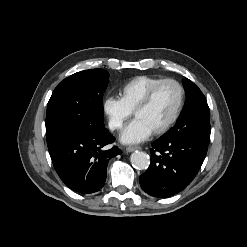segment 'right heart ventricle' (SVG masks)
<instances>
[{
	"mask_svg": "<svg viewBox=\"0 0 247 247\" xmlns=\"http://www.w3.org/2000/svg\"><path fill=\"white\" fill-rule=\"evenodd\" d=\"M161 80L163 78L151 75L136 76L120 88V98L125 106L133 112L149 89Z\"/></svg>",
	"mask_w": 247,
	"mask_h": 247,
	"instance_id": "right-heart-ventricle-1",
	"label": "right heart ventricle"
}]
</instances>
